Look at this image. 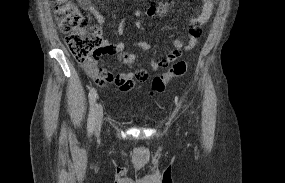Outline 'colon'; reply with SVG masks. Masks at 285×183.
<instances>
[{
    "label": "colon",
    "mask_w": 285,
    "mask_h": 183,
    "mask_svg": "<svg viewBox=\"0 0 285 183\" xmlns=\"http://www.w3.org/2000/svg\"><path fill=\"white\" fill-rule=\"evenodd\" d=\"M52 8L59 29L67 33L66 45L72 55L82 62L96 57L102 47L101 31L97 26L89 25V18L73 0H52ZM189 69V63L178 61L170 70L152 81L151 89L154 93H163L170 84L183 77ZM140 79V77H138Z\"/></svg>",
    "instance_id": "5ec220e1"
}]
</instances>
